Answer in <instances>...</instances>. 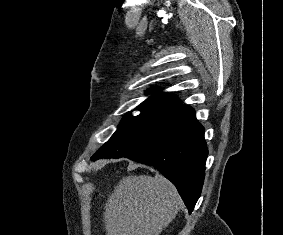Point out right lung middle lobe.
Instances as JSON below:
<instances>
[{
  "mask_svg": "<svg viewBox=\"0 0 283 235\" xmlns=\"http://www.w3.org/2000/svg\"><path fill=\"white\" fill-rule=\"evenodd\" d=\"M141 113L130 112L120 122L116 132L93 156L121 158L148 147L168 134L189 112L190 107L175 103L155 102L138 106Z\"/></svg>",
  "mask_w": 283,
  "mask_h": 235,
  "instance_id": "obj_1",
  "label": "right lung middle lobe"
}]
</instances>
